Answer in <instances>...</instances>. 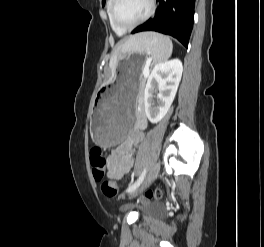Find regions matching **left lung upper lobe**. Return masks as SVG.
Instances as JSON below:
<instances>
[{
  "mask_svg": "<svg viewBox=\"0 0 264 247\" xmlns=\"http://www.w3.org/2000/svg\"><path fill=\"white\" fill-rule=\"evenodd\" d=\"M104 3H105V0H102V5H104Z\"/></svg>",
  "mask_w": 264,
  "mask_h": 247,
  "instance_id": "left-lung-upper-lobe-1",
  "label": "left lung upper lobe"
}]
</instances>
